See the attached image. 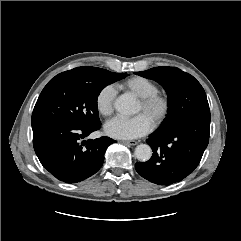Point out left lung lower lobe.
<instances>
[{"instance_id":"0a47b994","label":"left lung lower lobe","mask_w":241,"mask_h":241,"mask_svg":"<svg viewBox=\"0 0 241 241\" xmlns=\"http://www.w3.org/2000/svg\"><path fill=\"white\" fill-rule=\"evenodd\" d=\"M210 117H201L169 131H155L146 141L153 155L136 162V171L158 185L179 182L198 166L209 142Z\"/></svg>"}]
</instances>
